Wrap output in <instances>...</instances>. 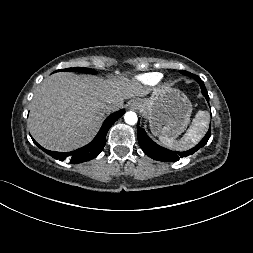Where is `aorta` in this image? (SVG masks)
Here are the masks:
<instances>
[{
    "instance_id": "762f6f07",
    "label": "aorta",
    "mask_w": 253,
    "mask_h": 253,
    "mask_svg": "<svg viewBox=\"0 0 253 253\" xmlns=\"http://www.w3.org/2000/svg\"><path fill=\"white\" fill-rule=\"evenodd\" d=\"M124 119H125V122L129 125L136 124L138 120L136 113L132 111L126 112L124 115Z\"/></svg>"
}]
</instances>
